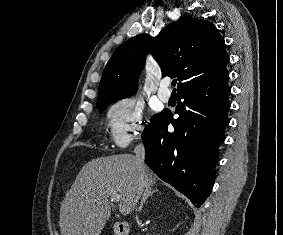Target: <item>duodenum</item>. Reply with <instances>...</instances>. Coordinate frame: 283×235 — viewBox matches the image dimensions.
<instances>
[{"instance_id":"obj_1","label":"duodenum","mask_w":283,"mask_h":235,"mask_svg":"<svg viewBox=\"0 0 283 235\" xmlns=\"http://www.w3.org/2000/svg\"><path fill=\"white\" fill-rule=\"evenodd\" d=\"M114 235H129V226L126 222L116 221L113 224Z\"/></svg>"}]
</instances>
